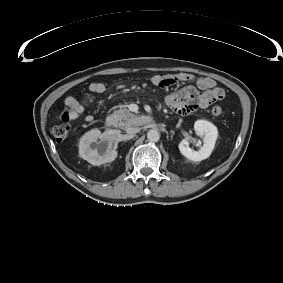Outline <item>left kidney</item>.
<instances>
[{
    "label": "left kidney",
    "mask_w": 283,
    "mask_h": 283,
    "mask_svg": "<svg viewBox=\"0 0 283 283\" xmlns=\"http://www.w3.org/2000/svg\"><path fill=\"white\" fill-rule=\"evenodd\" d=\"M194 130L198 136L203 137V146L200 150L191 149L187 139H183L178 147L181 154L189 160L202 161L211 155L218 137V130L213 123L207 120H197L194 123Z\"/></svg>",
    "instance_id": "left-kidney-1"
}]
</instances>
